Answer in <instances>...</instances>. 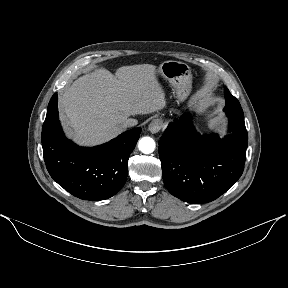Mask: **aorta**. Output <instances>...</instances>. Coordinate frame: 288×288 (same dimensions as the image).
<instances>
[{
	"label": "aorta",
	"mask_w": 288,
	"mask_h": 288,
	"mask_svg": "<svg viewBox=\"0 0 288 288\" xmlns=\"http://www.w3.org/2000/svg\"><path fill=\"white\" fill-rule=\"evenodd\" d=\"M139 150L144 154H150L155 150V141L151 137H143L138 143Z\"/></svg>",
	"instance_id": "aorta-1"
}]
</instances>
